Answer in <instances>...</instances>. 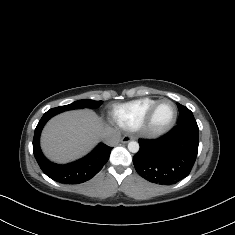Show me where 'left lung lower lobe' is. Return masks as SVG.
Listing matches in <instances>:
<instances>
[{
    "mask_svg": "<svg viewBox=\"0 0 235 235\" xmlns=\"http://www.w3.org/2000/svg\"><path fill=\"white\" fill-rule=\"evenodd\" d=\"M198 127L175 126L157 140H139L133 157L137 173L158 184H174L187 177L198 152Z\"/></svg>",
    "mask_w": 235,
    "mask_h": 235,
    "instance_id": "0a47b994",
    "label": "left lung lower lobe"
}]
</instances>
